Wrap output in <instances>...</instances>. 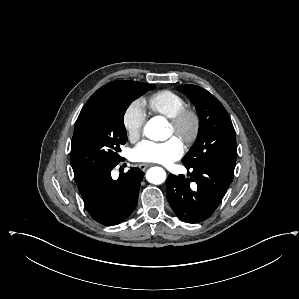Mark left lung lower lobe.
<instances>
[{
	"label": "left lung lower lobe",
	"instance_id": "0a47b994",
	"mask_svg": "<svg viewBox=\"0 0 299 299\" xmlns=\"http://www.w3.org/2000/svg\"><path fill=\"white\" fill-rule=\"evenodd\" d=\"M190 178L170 174L166 180L168 201L179 219L199 223L209 218L223 199L233 180V173L218 165L187 167ZM197 189L190 188V182Z\"/></svg>",
	"mask_w": 299,
	"mask_h": 299
}]
</instances>
